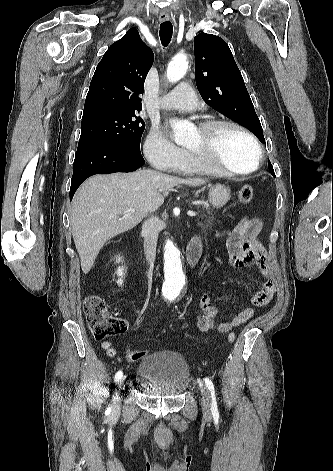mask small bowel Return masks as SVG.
Here are the masks:
<instances>
[{"label":"small bowel","mask_w":333,"mask_h":471,"mask_svg":"<svg viewBox=\"0 0 333 471\" xmlns=\"http://www.w3.org/2000/svg\"><path fill=\"white\" fill-rule=\"evenodd\" d=\"M262 223L258 219H242L231 231L227 238L226 247L231 264L237 268L255 266L263 279V287L256 292L251 302L256 307H266L275 292V283L270 277L267 265V253L260 243L258 236ZM200 312L197 326L201 332L217 329L220 333H228L232 329L247 322L254 314L251 307H246L228 322H218V309L212 304L211 297L203 294L200 298ZM135 323H141L142 318H133ZM101 347L109 357L116 355V350L110 341H103Z\"/></svg>","instance_id":"small-bowel-1"}]
</instances>
